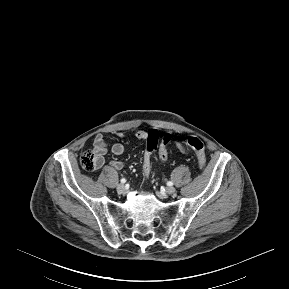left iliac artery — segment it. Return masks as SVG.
Instances as JSON below:
<instances>
[{
    "mask_svg": "<svg viewBox=\"0 0 289 289\" xmlns=\"http://www.w3.org/2000/svg\"><path fill=\"white\" fill-rule=\"evenodd\" d=\"M167 185H168V186H172V185H173V182H172V181H168V182H167Z\"/></svg>",
    "mask_w": 289,
    "mask_h": 289,
    "instance_id": "44dca946",
    "label": "left iliac artery"
}]
</instances>
